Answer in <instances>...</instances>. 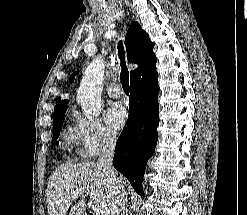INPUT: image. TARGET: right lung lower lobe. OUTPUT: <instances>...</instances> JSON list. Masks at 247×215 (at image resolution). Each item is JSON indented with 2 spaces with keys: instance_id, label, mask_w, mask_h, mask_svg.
Here are the masks:
<instances>
[{
  "instance_id": "98d812e1",
  "label": "right lung lower lobe",
  "mask_w": 247,
  "mask_h": 215,
  "mask_svg": "<svg viewBox=\"0 0 247 215\" xmlns=\"http://www.w3.org/2000/svg\"><path fill=\"white\" fill-rule=\"evenodd\" d=\"M153 60L131 77L129 117L119 136L114 167L131 183L135 191L144 195L143 175L148 159L153 155L158 140L159 124L158 73Z\"/></svg>"
}]
</instances>
